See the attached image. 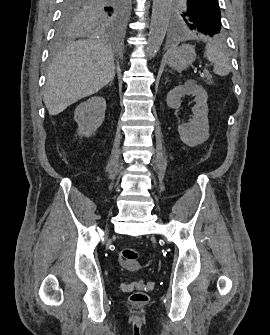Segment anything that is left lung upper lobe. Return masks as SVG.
Instances as JSON below:
<instances>
[{
    "label": "left lung upper lobe",
    "instance_id": "1",
    "mask_svg": "<svg viewBox=\"0 0 270 335\" xmlns=\"http://www.w3.org/2000/svg\"><path fill=\"white\" fill-rule=\"evenodd\" d=\"M176 13L179 22L189 30L211 37L222 31L218 0H181Z\"/></svg>",
    "mask_w": 270,
    "mask_h": 335
}]
</instances>
